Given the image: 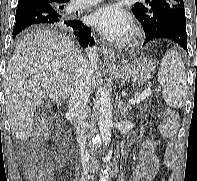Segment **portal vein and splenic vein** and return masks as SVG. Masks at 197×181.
Segmentation results:
<instances>
[{
    "instance_id": "1",
    "label": "portal vein and splenic vein",
    "mask_w": 197,
    "mask_h": 181,
    "mask_svg": "<svg viewBox=\"0 0 197 181\" xmlns=\"http://www.w3.org/2000/svg\"><path fill=\"white\" fill-rule=\"evenodd\" d=\"M151 95V89L148 87L146 88L141 94H139L137 97L129 99L128 104H137L144 100L146 97Z\"/></svg>"
}]
</instances>
